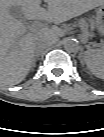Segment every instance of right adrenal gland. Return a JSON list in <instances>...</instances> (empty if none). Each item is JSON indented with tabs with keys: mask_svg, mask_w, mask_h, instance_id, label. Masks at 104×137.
<instances>
[{
	"mask_svg": "<svg viewBox=\"0 0 104 137\" xmlns=\"http://www.w3.org/2000/svg\"><path fill=\"white\" fill-rule=\"evenodd\" d=\"M36 61V58L33 60V63Z\"/></svg>",
	"mask_w": 104,
	"mask_h": 137,
	"instance_id": "2a0ac1e0",
	"label": "right adrenal gland"
}]
</instances>
